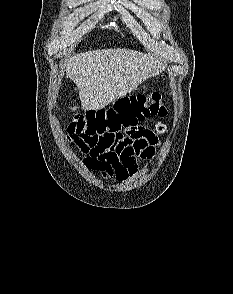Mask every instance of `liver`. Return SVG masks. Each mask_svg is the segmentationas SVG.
<instances>
[{
  "instance_id": "6515ba94",
  "label": "liver",
  "mask_w": 233,
  "mask_h": 294,
  "mask_svg": "<svg viewBox=\"0 0 233 294\" xmlns=\"http://www.w3.org/2000/svg\"><path fill=\"white\" fill-rule=\"evenodd\" d=\"M84 110H100L126 96L164 70L160 61L125 48L98 49L74 55L64 63Z\"/></svg>"
}]
</instances>
